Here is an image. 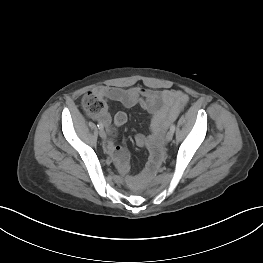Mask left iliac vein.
<instances>
[{
    "instance_id": "4c4485c4",
    "label": "left iliac vein",
    "mask_w": 263,
    "mask_h": 263,
    "mask_svg": "<svg viewBox=\"0 0 263 263\" xmlns=\"http://www.w3.org/2000/svg\"><path fill=\"white\" fill-rule=\"evenodd\" d=\"M173 138V132L172 131H169L167 134H166V141L167 142H170Z\"/></svg>"
}]
</instances>
